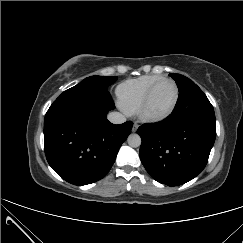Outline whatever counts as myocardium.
<instances>
[{
    "instance_id": "1",
    "label": "myocardium",
    "mask_w": 243,
    "mask_h": 243,
    "mask_svg": "<svg viewBox=\"0 0 243 243\" xmlns=\"http://www.w3.org/2000/svg\"><path fill=\"white\" fill-rule=\"evenodd\" d=\"M165 82H170L174 85L175 87V98L174 101L172 103V105L170 106V108L162 113V114H151L148 111V105L150 103V100L152 98V95L154 94L155 90L163 83ZM179 96H180V92H179V87L177 85V83L173 80V79H169V78H163L159 81H157L147 92V94L145 95L144 99L142 100L139 108L137 109V115L138 117L146 123H160L166 119H168L172 113L174 112V110L177 107V104L179 102Z\"/></svg>"
}]
</instances>
